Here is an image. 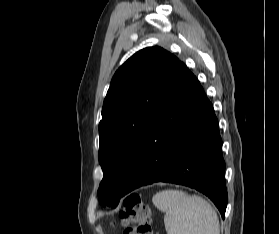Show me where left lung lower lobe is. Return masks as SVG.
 Masks as SVG:
<instances>
[{"label":"left lung lower lobe","mask_w":279,"mask_h":234,"mask_svg":"<svg viewBox=\"0 0 279 234\" xmlns=\"http://www.w3.org/2000/svg\"><path fill=\"white\" fill-rule=\"evenodd\" d=\"M221 148L213 106L197 78L180 62L121 195L155 182L186 185L207 195L224 218L228 198Z\"/></svg>","instance_id":"left-lung-lower-lobe-1"}]
</instances>
